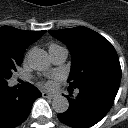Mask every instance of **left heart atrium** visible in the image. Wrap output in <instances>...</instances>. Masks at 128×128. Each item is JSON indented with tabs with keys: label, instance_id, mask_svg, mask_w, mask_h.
I'll return each instance as SVG.
<instances>
[{
	"label": "left heart atrium",
	"instance_id": "obj_1",
	"mask_svg": "<svg viewBox=\"0 0 128 128\" xmlns=\"http://www.w3.org/2000/svg\"><path fill=\"white\" fill-rule=\"evenodd\" d=\"M53 84H54L53 81L50 80V81H47L44 85H45V87L50 88L53 86Z\"/></svg>",
	"mask_w": 128,
	"mask_h": 128
}]
</instances>
